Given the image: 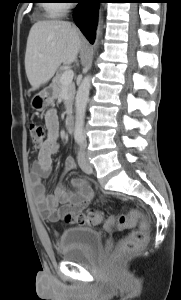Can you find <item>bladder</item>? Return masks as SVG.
<instances>
[{"label": "bladder", "mask_w": 181, "mask_h": 300, "mask_svg": "<svg viewBox=\"0 0 181 300\" xmlns=\"http://www.w3.org/2000/svg\"><path fill=\"white\" fill-rule=\"evenodd\" d=\"M102 246V234L89 227H70L59 237L60 256L66 261H90L100 254Z\"/></svg>", "instance_id": "obj_1"}]
</instances>
